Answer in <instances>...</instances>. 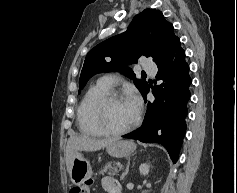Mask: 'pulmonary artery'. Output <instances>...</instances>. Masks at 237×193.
Segmentation results:
<instances>
[{
    "instance_id": "1",
    "label": "pulmonary artery",
    "mask_w": 237,
    "mask_h": 193,
    "mask_svg": "<svg viewBox=\"0 0 237 193\" xmlns=\"http://www.w3.org/2000/svg\"><path fill=\"white\" fill-rule=\"evenodd\" d=\"M143 69L147 73H156L157 71V66L155 63H153L151 60H146L143 63ZM99 82L104 85L107 88H113L115 85V79L111 75H106L100 78Z\"/></svg>"
}]
</instances>
